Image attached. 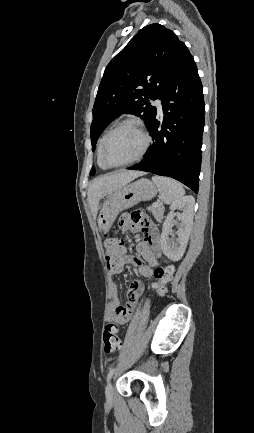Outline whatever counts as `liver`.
Segmentation results:
<instances>
[{"label": "liver", "instance_id": "1", "mask_svg": "<svg viewBox=\"0 0 254 433\" xmlns=\"http://www.w3.org/2000/svg\"><path fill=\"white\" fill-rule=\"evenodd\" d=\"M144 175L141 171L120 170L95 178L88 189V203L93 216L97 215L102 198L112 194L135 178Z\"/></svg>", "mask_w": 254, "mask_h": 433}]
</instances>
